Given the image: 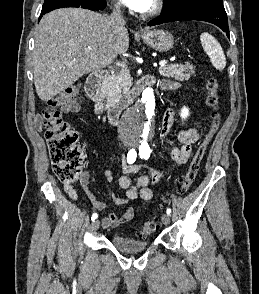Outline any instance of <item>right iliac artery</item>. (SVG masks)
I'll list each match as a JSON object with an SVG mask.
<instances>
[{
	"label": "right iliac artery",
	"mask_w": 259,
	"mask_h": 294,
	"mask_svg": "<svg viewBox=\"0 0 259 294\" xmlns=\"http://www.w3.org/2000/svg\"><path fill=\"white\" fill-rule=\"evenodd\" d=\"M137 158V152L135 149H131L127 154V162L132 164L135 162ZM98 217L97 213H94L91 217V220L94 221Z\"/></svg>",
	"instance_id": "1"
}]
</instances>
